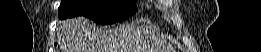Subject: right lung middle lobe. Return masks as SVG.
<instances>
[{
  "instance_id": "obj_1",
  "label": "right lung middle lobe",
  "mask_w": 261,
  "mask_h": 52,
  "mask_svg": "<svg viewBox=\"0 0 261 52\" xmlns=\"http://www.w3.org/2000/svg\"><path fill=\"white\" fill-rule=\"evenodd\" d=\"M135 11V2L128 0H62L58 14L60 19L83 15L103 25L122 21Z\"/></svg>"
}]
</instances>
